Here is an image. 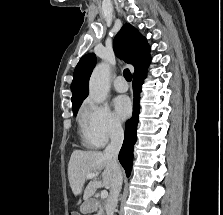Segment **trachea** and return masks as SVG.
Returning a JSON list of instances; mask_svg holds the SVG:
<instances>
[{
	"label": "trachea",
	"mask_w": 223,
	"mask_h": 215,
	"mask_svg": "<svg viewBox=\"0 0 223 215\" xmlns=\"http://www.w3.org/2000/svg\"><path fill=\"white\" fill-rule=\"evenodd\" d=\"M123 75L128 82H131V72L128 68L124 69Z\"/></svg>",
	"instance_id": "3493384b"
}]
</instances>
